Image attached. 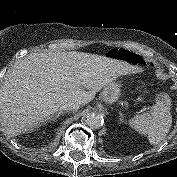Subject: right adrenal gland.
Wrapping results in <instances>:
<instances>
[{
    "label": "right adrenal gland",
    "instance_id": "1",
    "mask_svg": "<svg viewBox=\"0 0 177 177\" xmlns=\"http://www.w3.org/2000/svg\"><path fill=\"white\" fill-rule=\"evenodd\" d=\"M61 114H64L62 111H59L57 114H55L53 117H50L49 119H48V121H55V120H57L58 118H59V116L61 115Z\"/></svg>",
    "mask_w": 177,
    "mask_h": 177
}]
</instances>
